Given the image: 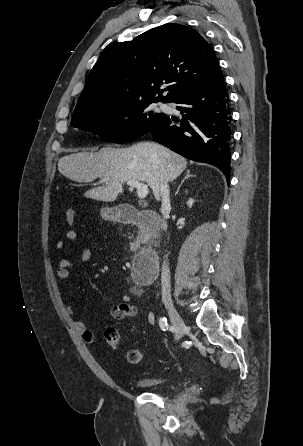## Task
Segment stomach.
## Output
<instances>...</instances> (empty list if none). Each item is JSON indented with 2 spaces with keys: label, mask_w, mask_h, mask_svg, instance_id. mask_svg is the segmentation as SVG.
I'll return each mask as SVG.
<instances>
[{
  "label": "stomach",
  "mask_w": 303,
  "mask_h": 446,
  "mask_svg": "<svg viewBox=\"0 0 303 446\" xmlns=\"http://www.w3.org/2000/svg\"><path fill=\"white\" fill-rule=\"evenodd\" d=\"M101 216L106 220H115L119 214L112 208H103L101 210Z\"/></svg>",
  "instance_id": "1"
}]
</instances>
